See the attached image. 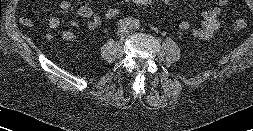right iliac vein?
I'll use <instances>...</instances> for the list:
<instances>
[{
	"label": "right iliac vein",
	"instance_id": "1",
	"mask_svg": "<svg viewBox=\"0 0 253 131\" xmlns=\"http://www.w3.org/2000/svg\"><path fill=\"white\" fill-rule=\"evenodd\" d=\"M124 33H125V31H124L123 29H120V30L118 31V35H119V36H122Z\"/></svg>",
	"mask_w": 253,
	"mask_h": 131
}]
</instances>
